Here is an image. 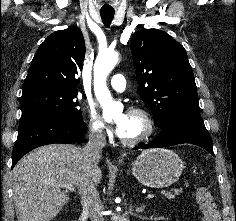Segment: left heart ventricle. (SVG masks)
Masks as SVG:
<instances>
[{
    "mask_svg": "<svg viewBox=\"0 0 236 221\" xmlns=\"http://www.w3.org/2000/svg\"><path fill=\"white\" fill-rule=\"evenodd\" d=\"M122 115L117 116V120L121 118ZM144 120L135 114H126L125 128L121 136L126 139H133L141 136L145 131Z\"/></svg>",
    "mask_w": 236,
    "mask_h": 221,
    "instance_id": "obj_1",
    "label": "left heart ventricle"
}]
</instances>
